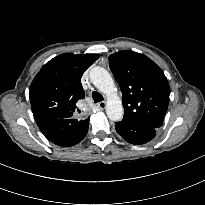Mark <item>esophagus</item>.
<instances>
[{
    "label": "esophagus",
    "instance_id": "esophagus-1",
    "mask_svg": "<svg viewBox=\"0 0 205 205\" xmlns=\"http://www.w3.org/2000/svg\"><path fill=\"white\" fill-rule=\"evenodd\" d=\"M97 107L99 108V109H105V107H106V102L105 101H101V102H99L98 104H97Z\"/></svg>",
    "mask_w": 205,
    "mask_h": 205
}]
</instances>
